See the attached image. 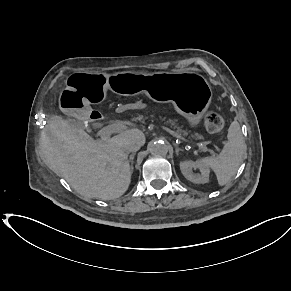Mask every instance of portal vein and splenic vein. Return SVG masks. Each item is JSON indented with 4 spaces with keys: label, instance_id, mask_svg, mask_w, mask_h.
<instances>
[{
    "label": "portal vein and splenic vein",
    "instance_id": "portal-vein-and-splenic-vein-1",
    "mask_svg": "<svg viewBox=\"0 0 291 291\" xmlns=\"http://www.w3.org/2000/svg\"><path fill=\"white\" fill-rule=\"evenodd\" d=\"M160 127L165 130L166 132H168L169 134H171L172 136L174 137H177V138H180V139H183L181 137V135L171 129H169L168 127L166 126H163V125H160ZM129 130V127L122 124V123H114V124H111L109 126H106V127H103L99 132H98V136H100L103 140H106L107 138H109L113 133H121V132H125ZM202 149L204 151H207V148L205 146L204 143H200L199 144Z\"/></svg>",
    "mask_w": 291,
    "mask_h": 291
}]
</instances>
